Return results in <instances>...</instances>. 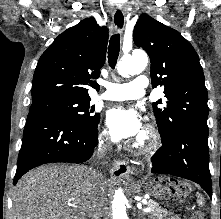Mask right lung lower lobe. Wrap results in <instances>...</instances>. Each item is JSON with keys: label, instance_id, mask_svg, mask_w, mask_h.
<instances>
[{"label": "right lung lower lobe", "instance_id": "98d812e1", "mask_svg": "<svg viewBox=\"0 0 221 219\" xmlns=\"http://www.w3.org/2000/svg\"><path fill=\"white\" fill-rule=\"evenodd\" d=\"M98 144V126L88 128L62 116L31 111L23 133L14 184L27 171L52 162L82 163Z\"/></svg>", "mask_w": 221, "mask_h": 219}]
</instances>
